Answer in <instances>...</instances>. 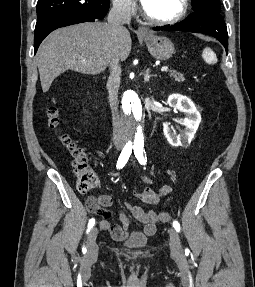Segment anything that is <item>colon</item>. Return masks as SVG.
I'll return each instance as SVG.
<instances>
[{
  "label": "colon",
  "mask_w": 255,
  "mask_h": 287,
  "mask_svg": "<svg viewBox=\"0 0 255 287\" xmlns=\"http://www.w3.org/2000/svg\"><path fill=\"white\" fill-rule=\"evenodd\" d=\"M47 116L49 127L53 129L57 128L59 124V115L56 106L53 105L48 109ZM61 141L68 149L72 157L77 189L81 193H85L91 190L97 185L98 179L97 175L88 162L86 154L72 141L68 135H62ZM159 219L161 222H170L172 217L167 212H161L159 214Z\"/></svg>",
  "instance_id": "1"
}]
</instances>
